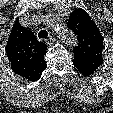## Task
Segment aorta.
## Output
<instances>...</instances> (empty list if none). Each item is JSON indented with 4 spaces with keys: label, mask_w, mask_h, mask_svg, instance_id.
Instances as JSON below:
<instances>
[{
    "label": "aorta",
    "mask_w": 113,
    "mask_h": 113,
    "mask_svg": "<svg viewBox=\"0 0 113 113\" xmlns=\"http://www.w3.org/2000/svg\"><path fill=\"white\" fill-rule=\"evenodd\" d=\"M54 33L64 46L72 47L75 46L77 43L75 34L65 25L56 24L54 28Z\"/></svg>",
    "instance_id": "obj_1"
}]
</instances>
